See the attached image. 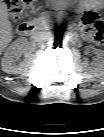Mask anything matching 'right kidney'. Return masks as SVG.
Here are the masks:
<instances>
[{
	"label": "right kidney",
	"instance_id": "obj_1",
	"mask_svg": "<svg viewBox=\"0 0 104 137\" xmlns=\"http://www.w3.org/2000/svg\"><path fill=\"white\" fill-rule=\"evenodd\" d=\"M28 41L26 38L15 40L6 50L2 60V70L8 74H20L29 65L30 59L27 58L19 65L15 64V58L19 57L27 49Z\"/></svg>",
	"mask_w": 104,
	"mask_h": 137
}]
</instances>
